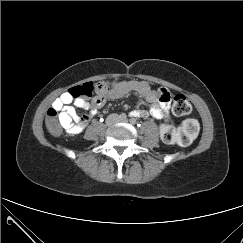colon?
Returning a JSON list of instances; mask_svg holds the SVG:
<instances>
[{"instance_id": "5ec220e1", "label": "colon", "mask_w": 243, "mask_h": 243, "mask_svg": "<svg viewBox=\"0 0 243 243\" xmlns=\"http://www.w3.org/2000/svg\"><path fill=\"white\" fill-rule=\"evenodd\" d=\"M110 88V85L101 81L96 84L92 82L84 83L79 86H75L69 90V93L74 98H88L93 95L94 92L106 93ZM170 95L167 90H160V99H167ZM173 113L177 116H184L191 112V104L188 99L181 94L174 97ZM86 117L83 118L85 120ZM46 126L48 131L55 136H58L62 132V126L59 121L58 111L51 107L46 114ZM199 123L195 119H186L179 129H175L172 126L162 125L160 128L161 139L167 144H179L182 146L189 145L198 135Z\"/></svg>"}]
</instances>
